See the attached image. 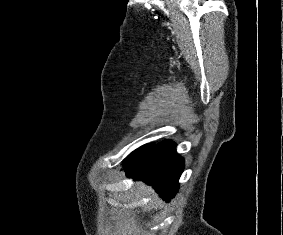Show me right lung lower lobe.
<instances>
[{
	"instance_id": "right-lung-lower-lobe-1",
	"label": "right lung lower lobe",
	"mask_w": 283,
	"mask_h": 235,
	"mask_svg": "<svg viewBox=\"0 0 283 235\" xmlns=\"http://www.w3.org/2000/svg\"><path fill=\"white\" fill-rule=\"evenodd\" d=\"M130 177L138 178L153 188L166 200L178 189V180L184 169V161L177 154L174 142L163 141L133 162H124Z\"/></svg>"
}]
</instances>
